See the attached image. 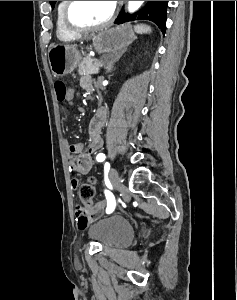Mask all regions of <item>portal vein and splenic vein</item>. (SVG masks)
I'll list each match as a JSON object with an SVG mask.
<instances>
[{"instance_id": "18ae733b", "label": "portal vein and splenic vein", "mask_w": 237, "mask_h": 300, "mask_svg": "<svg viewBox=\"0 0 237 300\" xmlns=\"http://www.w3.org/2000/svg\"><path fill=\"white\" fill-rule=\"evenodd\" d=\"M95 67L97 68V69H99L100 67H102V66H100V65H102V62L101 61H95Z\"/></svg>"}]
</instances>
